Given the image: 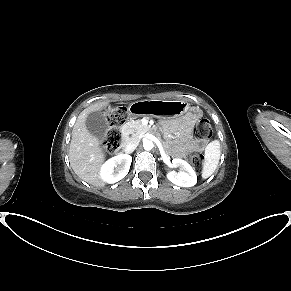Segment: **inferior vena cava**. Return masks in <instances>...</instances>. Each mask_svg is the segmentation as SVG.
<instances>
[{
	"label": "inferior vena cava",
	"instance_id": "inferior-vena-cava-1",
	"mask_svg": "<svg viewBox=\"0 0 291 291\" xmlns=\"http://www.w3.org/2000/svg\"><path fill=\"white\" fill-rule=\"evenodd\" d=\"M138 144H139V141L138 140L131 139L127 143L126 147L124 148L125 153H127V154L132 153L136 149V147L138 146Z\"/></svg>",
	"mask_w": 291,
	"mask_h": 291
}]
</instances>
